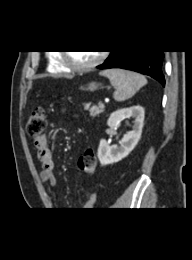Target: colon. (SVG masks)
<instances>
[{
	"mask_svg": "<svg viewBox=\"0 0 192 260\" xmlns=\"http://www.w3.org/2000/svg\"><path fill=\"white\" fill-rule=\"evenodd\" d=\"M46 115L43 109H35L29 116L27 121V133L37 142L43 136V131L46 127ZM78 168L80 172L92 175L96 169V156L93 150H86L79 158Z\"/></svg>",
	"mask_w": 192,
	"mask_h": 260,
	"instance_id": "1",
	"label": "colon"
}]
</instances>
